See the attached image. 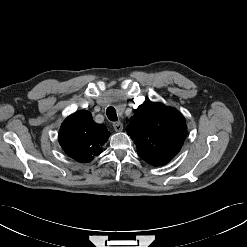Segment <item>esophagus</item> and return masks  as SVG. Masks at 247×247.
Instances as JSON below:
<instances>
[{"label": "esophagus", "instance_id": "obj_1", "mask_svg": "<svg viewBox=\"0 0 247 247\" xmlns=\"http://www.w3.org/2000/svg\"><path fill=\"white\" fill-rule=\"evenodd\" d=\"M113 128L116 132H120L123 130V124L120 121L114 122L113 123Z\"/></svg>", "mask_w": 247, "mask_h": 247}]
</instances>
